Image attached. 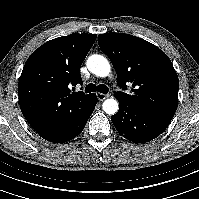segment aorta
I'll return each instance as SVG.
<instances>
[{
	"instance_id": "762f6f07",
	"label": "aorta",
	"mask_w": 199,
	"mask_h": 199,
	"mask_svg": "<svg viewBox=\"0 0 199 199\" xmlns=\"http://www.w3.org/2000/svg\"><path fill=\"white\" fill-rule=\"evenodd\" d=\"M87 67L91 73L99 77L108 76L111 70L108 60L97 54H94L87 59ZM102 108L105 113L113 115L117 113L119 104L116 99L109 98L103 102Z\"/></svg>"
}]
</instances>
